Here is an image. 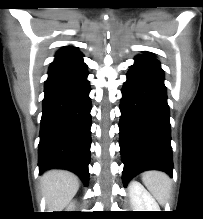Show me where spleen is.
<instances>
[{
	"mask_svg": "<svg viewBox=\"0 0 203 219\" xmlns=\"http://www.w3.org/2000/svg\"><path fill=\"white\" fill-rule=\"evenodd\" d=\"M142 181L159 204H165L171 190V180L163 172L147 171L142 175Z\"/></svg>",
	"mask_w": 203,
	"mask_h": 219,
	"instance_id": "1",
	"label": "spleen"
}]
</instances>
